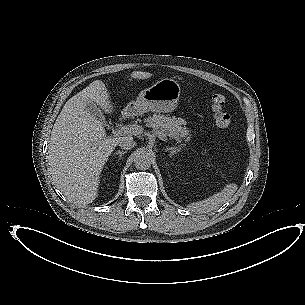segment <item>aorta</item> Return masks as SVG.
Wrapping results in <instances>:
<instances>
[{
    "label": "aorta",
    "mask_w": 305,
    "mask_h": 305,
    "mask_svg": "<svg viewBox=\"0 0 305 305\" xmlns=\"http://www.w3.org/2000/svg\"><path fill=\"white\" fill-rule=\"evenodd\" d=\"M152 157L149 151L140 150L136 153L134 158V165L139 169H147L151 166Z\"/></svg>",
    "instance_id": "obj_1"
}]
</instances>
